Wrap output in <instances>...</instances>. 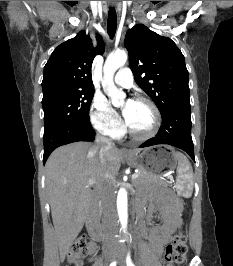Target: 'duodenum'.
I'll use <instances>...</instances> for the list:
<instances>
[{
	"label": "duodenum",
	"instance_id": "obj_1",
	"mask_svg": "<svg viewBox=\"0 0 233 266\" xmlns=\"http://www.w3.org/2000/svg\"><path fill=\"white\" fill-rule=\"evenodd\" d=\"M136 213L138 217H141L142 212L137 206ZM87 226L89 234L94 240H103L104 233L99 220V199L97 195L93 197L90 203Z\"/></svg>",
	"mask_w": 233,
	"mask_h": 266
}]
</instances>
